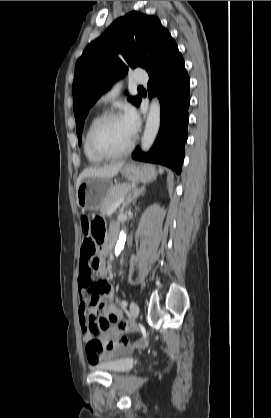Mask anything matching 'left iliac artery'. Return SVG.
I'll return each instance as SVG.
<instances>
[{"instance_id": "left-iliac-artery-1", "label": "left iliac artery", "mask_w": 271, "mask_h": 418, "mask_svg": "<svg viewBox=\"0 0 271 418\" xmlns=\"http://www.w3.org/2000/svg\"><path fill=\"white\" fill-rule=\"evenodd\" d=\"M121 304H122V306L125 308V307H127L128 302H127L126 300H123Z\"/></svg>"}]
</instances>
